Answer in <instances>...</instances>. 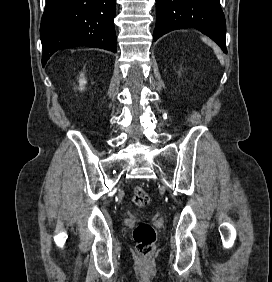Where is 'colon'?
Masks as SVG:
<instances>
[{
	"label": "colon",
	"mask_w": 272,
	"mask_h": 282,
	"mask_svg": "<svg viewBox=\"0 0 272 282\" xmlns=\"http://www.w3.org/2000/svg\"><path fill=\"white\" fill-rule=\"evenodd\" d=\"M147 192L139 186L133 190V202L137 206H145L148 203ZM133 239L136 243V249L143 259H150L154 253L156 232L154 228L145 222L137 224L133 230Z\"/></svg>",
	"instance_id": "1"
}]
</instances>
